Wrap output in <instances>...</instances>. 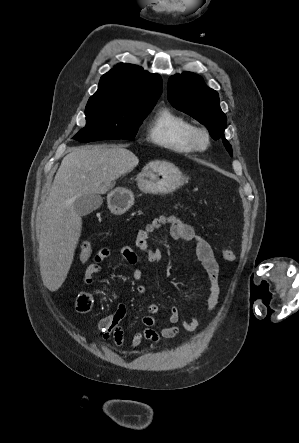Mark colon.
Returning <instances> with one entry per match:
<instances>
[{
  "label": "colon",
  "mask_w": 299,
  "mask_h": 443,
  "mask_svg": "<svg viewBox=\"0 0 299 443\" xmlns=\"http://www.w3.org/2000/svg\"><path fill=\"white\" fill-rule=\"evenodd\" d=\"M92 255V245L89 241L82 243L79 251V260L82 263L87 262ZM223 258L228 262H234L236 260L235 254L228 248L222 249Z\"/></svg>",
  "instance_id": "1"
}]
</instances>
